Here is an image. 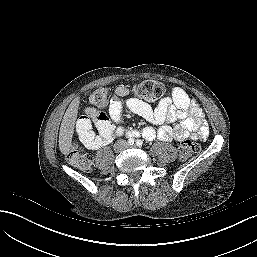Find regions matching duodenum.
I'll return each instance as SVG.
<instances>
[{
	"mask_svg": "<svg viewBox=\"0 0 257 257\" xmlns=\"http://www.w3.org/2000/svg\"><path fill=\"white\" fill-rule=\"evenodd\" d=\"M129 135H130V136L138 135V132H137V131H130V132H129Z\"/></svg>",
	"mask_w": 257,
	"mask_h": 257,
	"instance_id": "410a0bca",
	"label": "duodenum"
}]
</instances>
